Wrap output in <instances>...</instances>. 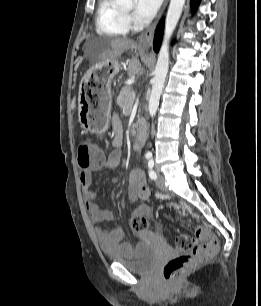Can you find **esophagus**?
I'll return each instance as SVG.
<instances>
[{
    "mask_svg": "<svg viewBox=\"0 0 261 306\" xmlns=\"http://www.w3.org/2000/svg\"><path fill=\"white\" fill-rule=\"evenodd\" d=\"M168 1L169 0H164L162 9L156 17L155 21L140 35L138 45L141 49L149 50L151 48L156 26L168 4Z\"/></svg>",
    "mask_w": 261,
    "mask_h": 306,
    "instance_id": "1",
    "label": "esophagus"
}]
</instances>
